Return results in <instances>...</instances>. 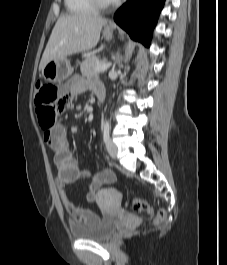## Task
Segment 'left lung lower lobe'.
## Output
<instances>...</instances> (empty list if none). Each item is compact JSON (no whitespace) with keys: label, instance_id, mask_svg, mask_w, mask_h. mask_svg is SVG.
<instances>
[{"label":"left lung lower lobe","instance_id":"1","mask_svg":"<svg viewBox=\"0 0 227 265\" xmlns=\"http://www.w3.org/2000/svg\"><path fill=\"white\" fill-rule=\"evenodd\" d=\"M165 0H128L114 16L115 22L134 40L149 46L153 28Z\"/></svg>","mask_w":227,"mask_h":265}]
</instances>
